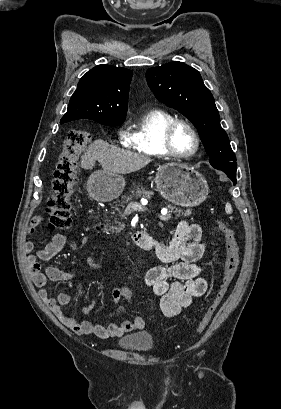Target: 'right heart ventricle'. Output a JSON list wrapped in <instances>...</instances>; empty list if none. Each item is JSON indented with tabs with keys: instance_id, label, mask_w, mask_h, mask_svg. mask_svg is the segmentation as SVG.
<instances>
[{
	"instance_id": "1",
	"label": "right heart ventricle",
	"mask_w": 281,
	"mask_h": 409,
	"mask_svg": "<svg viewBox=\"0 0 281 409\" xmlns=\"http://www.w3.org/2000/svg\"><path fill=\"white\" fill-rule=\"evenodd\" d=\"M175 119L177 117L167 110H149L134 124L126 147L141 157H170L164 147V134L167 126Z\"/></svg>"
}]
</instances>
